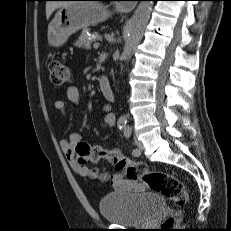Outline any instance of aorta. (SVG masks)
Returning <instances> with one entry per match:
<instances>
[{"label": "aorta", "mask_w": 231, "mask_h": 231, "mask_svg": "<svg viewBox=\"0 0 231 231\" xmlns=\"http://www.w3.org/2000/svg\"><path fill=\"white\" fill-rule=\"evenodd\" d=\"M152 7H153L152 1H141L134 12V15L128 27V35L122 54V58L126 62L130 60L133 51L140 43L143 37L146 25L150 18ZM120 120L126 121L127 116L126 115L121 116Z\"/></svg>", "instance_id": "762f6f07"}]
</instances>
